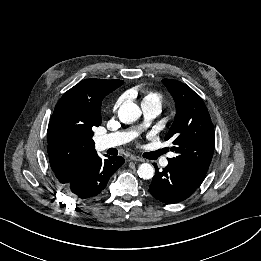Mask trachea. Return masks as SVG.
Masks as SVG:
<instances>
[{
    "label": "trachea",
    "mask_w": 261,
    "mask_h": 261,
    "mask_svg": "<svg viewBox=\"0 0 261 261\" xmlns=\"http://www.w3.org/2000/svg\"><path fill=\"white\" fill-rule=\"evenodd\" d=\"M162 154H164V150H158V151L154 152L153 153V155H154L153 159L157 158L158 156H160Z\"/></svg>",
    "instance_id": "3493384b"
}]
</instances>
